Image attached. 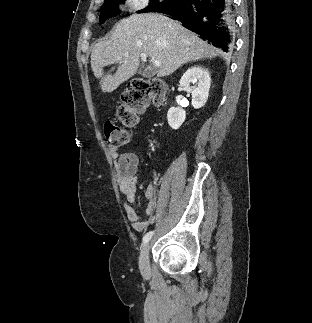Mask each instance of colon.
Wrapping results in <instances>:
<instances>
[{"instance_id":"1","label":"colon","mask_w":312,"mask_h":323,"mask_svg":"<svg viewBox=\"0 0 312 323\" xmlns=\"http://www.w3.org/2000/svg\"><path fill=\"white\" fill-rule=\"evenodd\" d=\"M165 86L160 77H133L127 82L116 107V122H108L104 139L109 146L122 147L128 144L131 128L138 122L139 114L149 105H160L165 98Z\"/></svg>"}]
</instances>
